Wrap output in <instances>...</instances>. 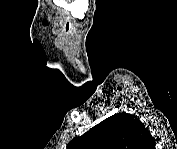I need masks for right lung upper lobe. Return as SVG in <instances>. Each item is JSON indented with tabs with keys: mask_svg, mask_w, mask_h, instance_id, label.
Instances as JSON below:
<instances>
[{
	"mask_svg": "<svg viewBox=\"0 0 177 149\" xmlns=\"http://www.w3.org/2000/svg\"><path fill=\"white\" fill-rule=\"evenodd\" d=\"M145 125L128 113L112 115L82 136L71 140L67 149H150ZM155 143V142H154Z\"/></svg>",
	"mask_w": 177,
	"mask_h": 149,
	"instance_id": "right-lung-upper-lobe-1",
	"label": "right lung upper lobe"
}]
</instances>
